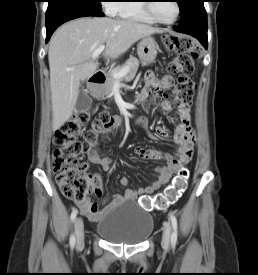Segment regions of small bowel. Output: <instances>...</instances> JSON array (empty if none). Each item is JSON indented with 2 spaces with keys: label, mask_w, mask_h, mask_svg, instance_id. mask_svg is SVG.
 <instances>
[{
  "label": "small bowel",
  "mask_w": 258,
  "mask_h": 275,
  "mask_svg": "<svg viewBox=\"0 0 258 275\" xmlns=\"http://www.w3.org/2000/svg\"><path fill=\"white\" fill-rule=\"evenodd\" d=\"M174 80L172 76L165 75L159 82L152 71H148L145 74V86L143 87L140 98H147L152 89L159 87L160 89H168L172 87ZM165 109H169L170 106L162 104ZM191 103H183L178 107V124L175 129L174 141L178 145L177 151L174 155L164 154L157 149L145 148L142 146H136L134 149L135 155L142 159L162 160L164 164L156 167V180L145 187H137L134 189L126 188L121 195H114L112 198L104 201V206L99 209L98 206L86 199L84 201H76L81 213L92 221H97L102 216L113 209L126 202H133L137 197L150 194L159 189L161 186L169 182L173 174L191 157L193 146L195 143L194 134L191 126L190 117ZM138 124L149 130V124L146 120H138ZM159 135H166V131L162 126L155 128ZM88 161L92 164L99 165L104 171H109L111 168V159L103 157L100 153L90 148L88 151ZM122 186H128V179L123 177L120 180ZM93 188L97 196H101L103 193L102 176L100 173H96L93 176Z\"/></svg>",
  "instance_id": "obj_1"
}]
</instances>
